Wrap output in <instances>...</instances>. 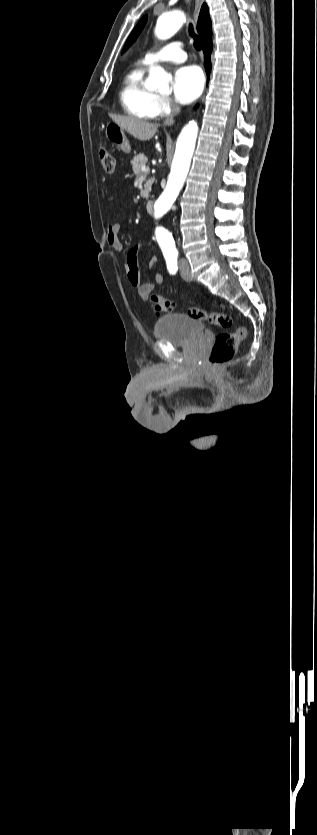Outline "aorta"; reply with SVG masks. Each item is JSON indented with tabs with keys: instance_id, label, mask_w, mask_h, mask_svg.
Here are the masks:
<instances>
[{
	"instance_id": "obj_1",
	"label": "aorta",
	"mask_w": 317,
	"mask_h": 835,
	"mask_svg": "<svg viewBox=\"0 0 317 835\" xmlns=\"http://www.w3.org/2000/svg\"><path fill=\"white\" fill-rule=\"evenodd\" d=\"M184 22L185 14L181 10L173 9L163 12L157 18L155 35L160 40L169 39L177 33ZM171 79L172 76L161 66H153L149 69L145 87L152 90L166 91ZM197 136L198 125L193 121L185 125L179 134L166 188L154 206V218L156 220L162 219L168 212L186 180ZM156 238L159 241L167 242L170 246L174 244L170 231L163 227L156 231Z\"/></svg>"
}]
</instances>
